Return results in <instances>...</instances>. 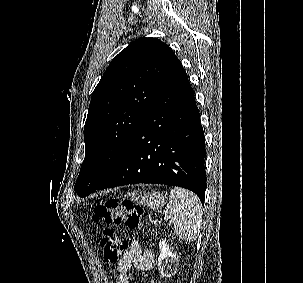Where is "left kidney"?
<instances>
[{"label":"left kidney","instance_id":"1","mask_svg":"<svg viewBox=\"0 0 303 283\" xmlns=\"http://www.w3.org/2000/svg\"><path fill=\"white\" fill-rule=\"evenodd\" d=\"M160 255L158 258V268L163 277H170L178 266V257L171 251L166 239L160 241Z\"/></svg>","mask_w":303,"mask_h":283}]
</instances>
